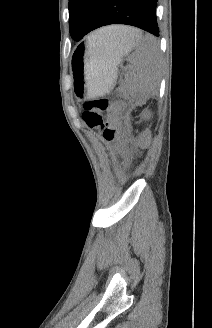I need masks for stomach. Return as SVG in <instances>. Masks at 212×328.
Returning a JSON list of instances; mask_svg holds the SVG:
<instances>
[{"label":"stomach","instance_id":"0dacf381","mask_svg":"<svg viewBox=\"0 0 212 328\" xmlns=\"http://www.w3.org/2000/svg\"><path fill=\"white\" fill-rule=\"evenodd\" d=\"M136 44L110 48L95 49L87 43L78 46L72 58L74 83L80 94L97 97L107 94L116 81L117 66L121 57L127 54Z\"/></svg>","mask_w":212,"mask_h":328}]
</instances>
